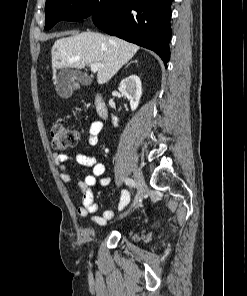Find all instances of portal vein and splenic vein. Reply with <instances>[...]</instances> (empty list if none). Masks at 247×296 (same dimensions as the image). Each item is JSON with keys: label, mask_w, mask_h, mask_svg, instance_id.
Masks as SVG:
<instances>
[{"label": "portal vein and splenic vein", "mask_w": 247, "mask_h": 296, "mask_svg": "<svg viewBox=\"0 0 247 296\" xmlns=\"http://www.w3.org/2000/svg\"><path fill=\"white\" fill-rule=\"evenodd\" d=\"M101 67V65L100 64H98V63H92L91 64V71L92 72H97L98 71V69Z\"/></svg>", "instance_id": "18ae733b"}]
</instances>
